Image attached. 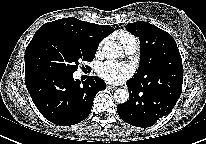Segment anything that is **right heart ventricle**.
<instances>
[{
  "label": "right heart ventricle",
  "mask_w": 206,
  "mask_h": 144,
  "mask_svg": "<svg viewBox=\"0 0 206 144\" xmlns=\"http://www.w3.org/2000/svg\"><path fill=\"white\" fill-rule=\"evenodd\" d=\"M119 40L121 42V44L124 46L127 42H129L130 40L135 39L132 35H130L129 33L126 32H121L118 35Z\"/></svg>",
  "instance_id": "1"
}]
</instances>
